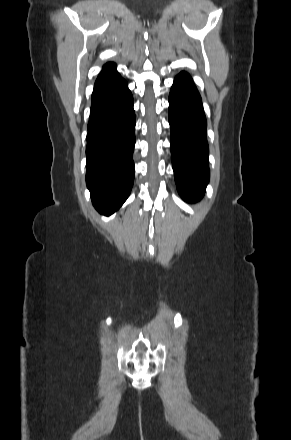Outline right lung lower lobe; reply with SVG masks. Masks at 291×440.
Returning <instances> with one entry per match:
<instances>
[{
  "label": "right lung lower lobe",
  "instance_id": "98d812e1",
  "mask_svg": "<svg viewBox=\"0 0 291 440\" xmlns=\"http://www.w3.org/2000/svg\"><path fill=\"white\" fill-rule=\"evenodd\" d=\"M87 128V187L94 207L111 215L128 198L134 181L133 97L116 66L104 68L95 82Z\"/></svg>",
  "mask_w": 291,
  "mask_h": 440
}]
</instances>
